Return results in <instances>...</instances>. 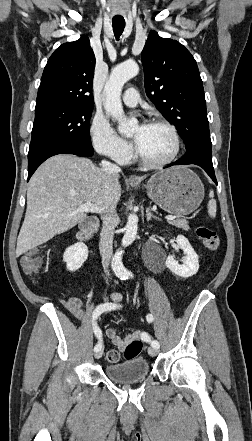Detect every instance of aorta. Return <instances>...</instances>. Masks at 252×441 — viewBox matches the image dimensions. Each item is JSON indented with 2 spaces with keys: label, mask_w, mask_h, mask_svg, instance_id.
Returning a JSON list of instances; mask_svg holds the SVG:
<instances>
[{
  "label": "aorta",
  "mask_w": 252,
  "mask_h": 441,
  "mask_svg": "<svg viewBox=\"0 0 252 441\" xmlns=\"http://www.w3.org/2000/svg\"><path fill=\"white\" fill-rule=\"evenodd\" d=\"M139 72V66L134 61H126L117 65L110 74L104 92L106 101L104 104L105 111L114 117L118 123V130L121 134L129 135L132 128L137 124L136 119L127 120L121 102V92L124 84L135 77ZM138 230V216L130 214L125 227V234L122 239V246H129L136 238ZM122 250H117L112 258V268L119 277L128 275V270L122 262Z\"/></svg>",
  "instance_id": "aorta-1"
}]
</instances>
